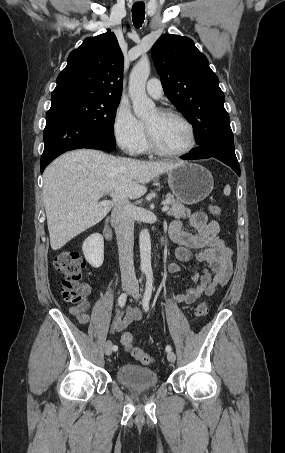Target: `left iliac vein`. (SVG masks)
Masks as SVG:
<instances>
[{
    "instance_id": "left-iliac-vein-1",
    "label": "left iliac vein",
    "mask_w": 285,
    "mask_h": 453,
    "mask_svg": "<svg viewBox=\"0 0 285 453\" xmlns=\"http://www.w3.org/2000/svg\"><path fill=\"white\" fill-rule=\"evenodd\" d=\"M131 295L137 300L139 299V289L137 286H134L132 291H131ZM167 359L169 362H175L176 360V355L174 352L170 351L167 353Z\"/></svg>"
}]
</instances>
